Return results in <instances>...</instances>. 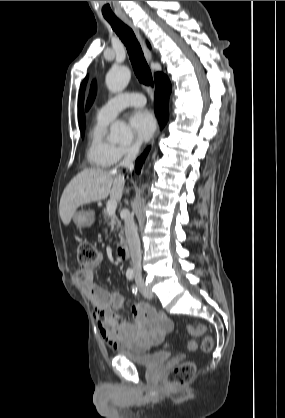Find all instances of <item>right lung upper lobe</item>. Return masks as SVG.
<instances>
[{
    "instance_id": "cb5924a9",
    "label": "right lung upper lobe",
    "mask_w": 285,
    "mask_h": 418,
    "mask_svg": "<svg viewBox=\"0 0 285 418\" xmlns=\"http://www.w3.org/2000/svg\"><path fill=\"white\" fill-rule=\"evenodd\" d=\"M149 46V45H148ZM160 73H156L155 74V82H157L158 76ZM87 78L84 80L83 84L81 85L80 88V93H79V101H78V108H79V112H78V119H79V127H84V114L82 112L83 109V101H84V90H85V84H86Z\"/></svg>"
}]
</instances>
